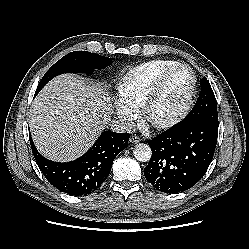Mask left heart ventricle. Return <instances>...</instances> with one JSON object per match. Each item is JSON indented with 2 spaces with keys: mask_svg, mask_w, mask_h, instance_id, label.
<instances>
[{
  "mask_svg": "<svg viewBox=\"0 0 249 249\" xmlns=\"http://www.w3.org/2000/svg\"><path fill=\"white\" fill-rule=\"evenodd\" d=\"M190 83L191 75L187 69H179L173 73L151 109V120L162 121L175 114L185 99Z\"/></svg>",
  "mask_w": 249,
  "mask_h": 249,
  "instance_id": "obj_1",
  "label": "left heart ventricle"
}]
</instances>
